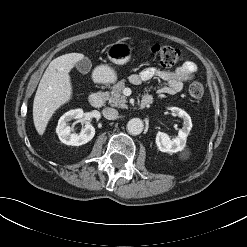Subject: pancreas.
Returning a JSON list of instances; mask_svg holds the SVG:
<instances>
[{
	"label": "pancreas",
	"mask_w": 247,
	"mask_h": 247,
	"mask_svg": "<svg viewBox=\"0 0 247 247\" xmlns=\"http://www.w3.org/2000/svg\"><path fill=\"white\" fill-rule=\"evenodd\" d=\"M125 88L124 80L119 81L113 87L110 93H105V97L109 104L113 107L125 108L126 107V97L122 94Z\"/></svg>",
	"instance_id": "obj_1"
}]
</instances>
